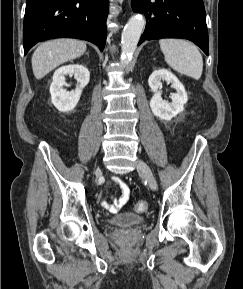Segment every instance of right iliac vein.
Wrapping results in <instances>:
<instances>
[{"label": "right iliac vein", "mask_w": 243, "mask_h": 289, "mask_svg": "<svg viewBox=\"0 0 243 289\" xmlns=\"http://www.w3.org/2000/svg\"><path fill=\"white\" fill-rule=\"evenodd\" d=\"M101 171L99 169L96 170L95 172V175H96V178H98V176L100 175Z\"/></svg>", "instance_id": "1"}]
</instances>
